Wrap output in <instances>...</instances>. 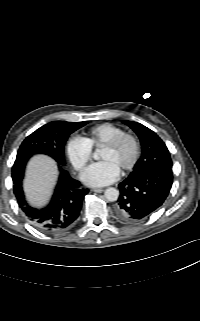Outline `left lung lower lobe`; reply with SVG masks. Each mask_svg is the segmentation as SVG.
Wrapping results in <instances>:
<instances>
[{
  "label": "left lung lower lobe",
  "instance_id": "0a47b994",
  "mask_svg": "<svg viewBox=\"0 0 200 321\" xmlns=\"http://www.w3.org/2000/svg\"><path fill=\"white\" fill-rule=\"evenodd\" d=\"M173 183L171 168L150 167L134 170L119 184L120 196L115 206L123 222L147 218L167 198Z\"/></svg>",
  "mask_w": 200,
  "mask_h": 321
}]
</instances>
